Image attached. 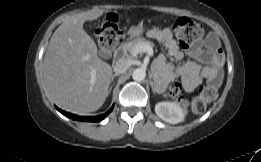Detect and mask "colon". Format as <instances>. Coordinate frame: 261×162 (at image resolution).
I'll list each match as a JSON object with an SVG mask.
<instances>
[{
    "label": "colon",
    "instance_id": "1",
    "mask_svg": "<svg viewBox=\"0 0 261 162\" xmlns=\"http://www.w3.org/2000/svg\"><path fill=\"white\" fill-rule=\"evenodd\" d=\"M173 33L182 46H187L190 41L199 39L203 34L202 27L186 17L177 18L172 26ZM100 54L105 57H111L113 49L120 41L122 29L119 19L115 14H109L101 22L96 30ZM216 86L209 84L200 89L199 94L191 101L192 111L200 114L206 109V106L216 97ZM167 96L181 100V85L178 82H173L168 88Z\"/></svg>",
    "mask_w": 261,
    "mask_h": 162
}]
</instances>
